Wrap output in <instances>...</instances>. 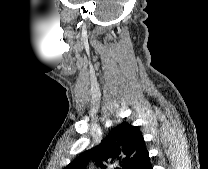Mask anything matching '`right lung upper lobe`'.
Returning a JSON list of instances; mask_svg holds the SVG:
<instances>
[{
    "label": "right lung upper lobe",
    "mask_w": 208,
    "mask_h": 169,
    "mask_svg": "<svg viewBox=\"0 0 208 169\" xmlns=\"http://www.w3.org/2000/svg\"><path fill=\"white\" fill-rule=\"evenodd\" d=\"M149 158L141 131L128 122L114 127L101 143L83 153L64 169H86L93 161L97 167L106 169V164L118 162L120 168L140 169Z\"/></svg>",
    "instance_id": "cb5924a9"
}]
</instances>
